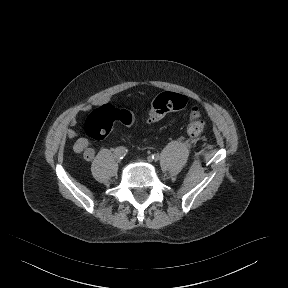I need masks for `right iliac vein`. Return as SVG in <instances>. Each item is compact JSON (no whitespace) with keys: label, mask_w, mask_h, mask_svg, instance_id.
Listing matches in <instances>:
<instances>
[{"label":"right iliac vein","mask_w":288,"mask_h":288,"mask_svg":"<svg viewBox=\"0 0 288 288\" xmlns=\"http://www.w3.org/2000/svg\"><path fill=\"white\" fill-rule=\"evenodd\" d=\"M118 160V162H120L121 160L120 159H117Z\"/></svg>","instance_id":"right-iliac-vein-1"}]
</instances>
